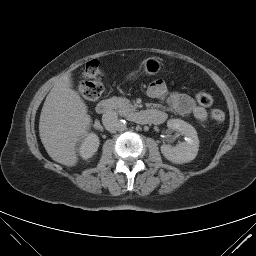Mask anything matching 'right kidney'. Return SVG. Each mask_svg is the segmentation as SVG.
<instances>
[{"mask_svg":"<svg viewBox=\"0 0 256 256\" xmlns=\"http://www.w3.org/2000/svg\"><path fill=\"white\" fill-rule=\"evenodd\" d=\"M99 147V138L95 133H89L82 140L79 147L80 156L87 160L91 158Z\"/></svg>","mask_w":256,"mask_h":256,"instance_id":"right-kidney-1","label":"right kidney"}]
</instances>
